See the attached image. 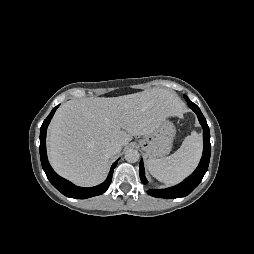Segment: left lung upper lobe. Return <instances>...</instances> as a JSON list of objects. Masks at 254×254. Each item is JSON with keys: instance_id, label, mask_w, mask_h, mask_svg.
<instances>
[{"instance_id": "5c2ea615", "label": "left lung upper lobe", "mask_w": 254, "mask_h": 254, "mask_svg": "<svg viewBox=\"0 0 254 254\" xmlns=\"http://www.w3.org/2000/svg\"><path fill=\"white\" fill-rule=\"evenodd\" d=\"M184 98L186 99V98H188L187 96H184Z\"/></svg>"}]
</instances>
